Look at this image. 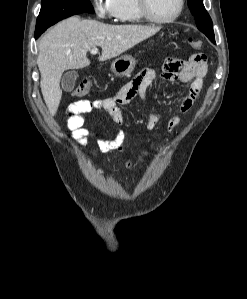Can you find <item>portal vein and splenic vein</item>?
I'll return each instance as SVG.
<instances>
[{"label": "portal vein and splenic vein", "mask_w": 247, "mask_h": 299, "mask_svg": "<svg viewBox=\"0 0 247 299\" xmlns=\"http://www.w3.org/2000/svg\"><path fill=\"white\" fill-rule=\"evenodd\" d=\"M97 52H98V49L96 47H93L92 49H90L91 54H96Z\"/></svg>", "instance_id": "obj_1"}]
</instances>
